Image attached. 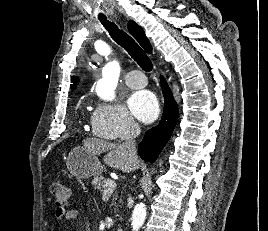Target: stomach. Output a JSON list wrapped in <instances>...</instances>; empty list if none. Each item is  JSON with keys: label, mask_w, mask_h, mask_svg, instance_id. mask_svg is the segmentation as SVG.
Returning a JSON list of instances; mask_svg holds the SVG:
<instances>
[{"label": "stomach", "mask_w": 268, "mask_h": 231, "mask_svg": "<svg viewBox=\"0 0 268 231\" xmlns=\"http://www.w3.org/2000/svg\"><path fill=\"white\" fill-rule=\"evenodd\" d=\"M67 169L77 179L99 176L102 166L98 157L84 146L74 147L66 158Z\"/></svg>", "instance_id": "1"}]
</instances>
